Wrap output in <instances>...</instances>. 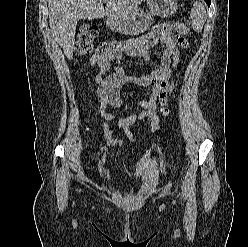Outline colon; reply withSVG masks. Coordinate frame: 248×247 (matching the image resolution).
<instances>
[{
	"instance_id": "colon-1",
	"label": "colon",
	"mask_w": 248,
	"mask_h": 247,
	"mask_svg": "<svg viewBox=\"0 0 248 247\" xmlns=\"http://www.w3.org/2000/svg\"><path fill=\"white\" fill-rule=\"evenodd\" d=\"M174 30L181 35H188L190 28L187 24L182 22H164L153 28L151 36L154 38H162L170 34ZM98 35V27L96 25L86 24L84 25L78 35L76 43V52L79 55L88 54L93 48V41ZM127 42L110 41L101 43L95 50V54L91 59L92 64H99L108 55L114 52H120L125 50Z\"/></svg>"
}]
</instances>
